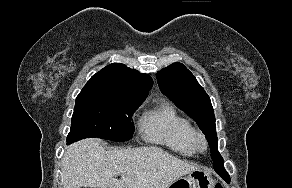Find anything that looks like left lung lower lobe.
<instances>
[{"label":"left lung lower lobe","mask_w":292,"mask_h":188,"mask_svg":"<svg viewBox=\"0 0 292 188\" xmlns=\"http://www.w3.org/2000/svg\"><path fill=\"white\" fill-rule=\"evenodd\" d=\"M214 169L220 176H223V174L225 173L223 164L220 167H215Z\"/></svg>","instance_id":"1"}]
</instances>
